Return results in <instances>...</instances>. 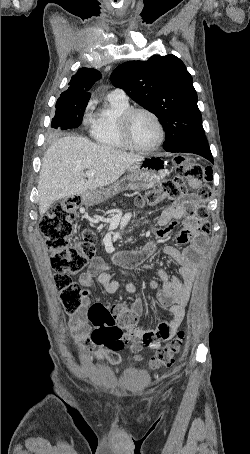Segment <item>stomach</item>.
<instances>
[{"instance_id": "stomach-1", "label": "stomach", "mask_w": 250, "mask_h": 454, "mask_svg": "<svg viewBox=\"0 0 250 454\" xmlns=\"http://www.w3.org/2000/svg\"><path fill=\"white\" fill-rule=\"evenodd\" d=\"M129 174L120 182L102 190H88L81 195L85 205L98 204L123 189H148L158 185L166 175L165 162L157 157H148L134 163Z\"/></svg>"}]
</instances>
